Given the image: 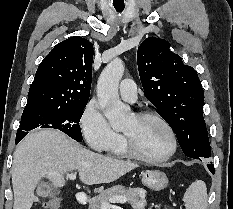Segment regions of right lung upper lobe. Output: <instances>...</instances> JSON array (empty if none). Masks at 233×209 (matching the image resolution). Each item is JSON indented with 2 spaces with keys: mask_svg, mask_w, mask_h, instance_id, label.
<instances>
[{
  "mask_svg": "<svg viewBox=\"0 0 233 209\" xmlns=\"http://www.w3.org/2000/svg\"><path fill=\"white\" fill-rule=\"evenodd\" d=\"M93 45L73 36L57 44L40 63L28 93L27 105H68L88 102Z\"/></svg>",
  "mask_w": 233,
  "mask_h": 209,
  "instance_id": "cb5924a9",
  "label": "right lung upper lobe"
}]
</instances>
